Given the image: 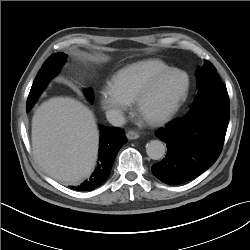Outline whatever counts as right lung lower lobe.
Wrapping results in <instances>:
<instances>
[{
	"label": "right lung lower lobe",
	"instance_id": "obj_1",
	"mask_svg": "<svg viewBox=\"0 0 250 250\" xmlns=\"http://www.w3.org/2000/svg\"><path fill=\"white\" fill-rule=\"evenodd\" d=\"M127 142L124 131L116 127H107L100 134L98 164L91 177L79 186L78 191H90L100 186L109 176L119 149Z\"/></svg>",
	"mask_w": 250,
	"mask_h": 250
}]
</instances>
